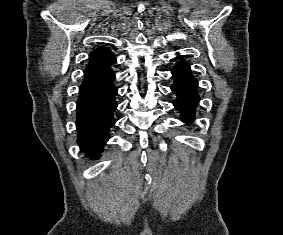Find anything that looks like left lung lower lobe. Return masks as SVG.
Returning <instances> with one entry per match:
<instances>
[{"label": "left lung lower lobe", "instance_id": "left-lung-lower-lobe-1", "mask_svg": "<svg viewBox=\"0 0 283 235\" xmlns=\"http://www.w3.org/2000/svg\"><path fill=\"white\" fill-rule=\"evenodd\" d=\"M175 82L171 89L176 93L177 99L174 106L182 113V121L191 122L195 118V108L199 101L197 94V80L191 73L190 67L185 62H180L173 69Z\"/></svg>", "mask_w": 283, "mask_h": 235}]
</instances>
